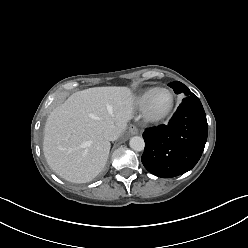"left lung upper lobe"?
I'll use <instances>...</instances> for the list:
<instances>
[{"instance_id":"left-lung-upper-lobe-1","label":"left lung upper lobe","mask_w":248,"mask_h":248,"mask_svg":"<svg viewBox=\"0 0 248 248\" xmlns=\"http://www.w3.org/2000/svg\"><path fill=\"white\" fill-rule=\"evenodd\" d=\"M171 88H173L176 94L184 93L186 96H190L193 93L181 82L175 81L169 84Z\"/></svg>"}]
</instances>
